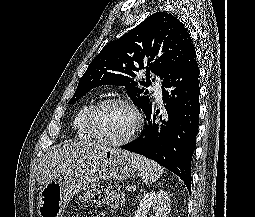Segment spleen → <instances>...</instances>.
Here are the masks:
<instances>
[{"label": "spleen", "instance_id": "3e777b00", "mask_svg": "<svg viewBox=\"0 0 255 217\" xmlns=\"http://www.w3.org/2000/svg\"><path fill=\"white\" fill-rule=\"evenodd\" d=\"M130 157L134 162L136 169L141 172L142 180L145 184L155 182L163 174V168L153 160L134 153H130Z\"/></svg>", "mask_w": 255, "mask_h": 217}]
</instances>
